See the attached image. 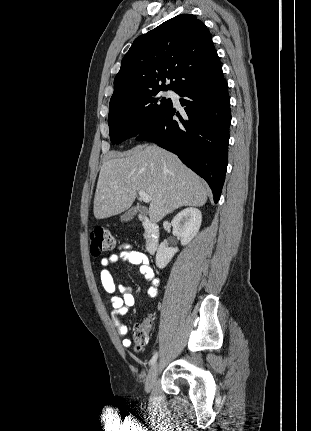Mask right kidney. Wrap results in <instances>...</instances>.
<instances>
[{
  "label": "right kidney",
  "instance_id": "ca27d5eb",
  "mask_svg": "<svg viewBox=\"0 0 311 431\" xmlns=\"http://www.w3.org/2000/svg\"><path fill=\"white\" fill-rule=\"evenodd\" d=\"M202 221V214L197 208H185L179 212L177 216L173 217L171 223L173 227V235H177L181 239V245L190 243L191 239L197 235ZM179 251L178 247H167L166 243H160L155 263L157 267H166L173 255Z\"/></svg>",
  "mask_w": 311,
  "mask_h": 431
}]
</instances>
